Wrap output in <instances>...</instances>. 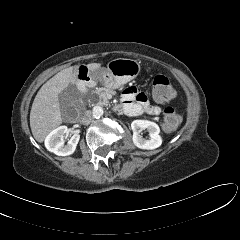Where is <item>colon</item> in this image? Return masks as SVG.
Returning <instances> with one entry per match:
<instances>
[{"instance_id": "1", "label": "colon", "mask_w": 240, "mask_h": 240, "mask_svg": "<svg viewBox=\"0 0 240 240\" xmlns=\"http://www.w3.org/2000/svg\"><path fill=\"white\" fill-rule=\"evenodd\" d=\"M153 98L158 102H169L176 97L177 91L170 80L164 75H155L150 78ZM181 115L173 108L164 110L163 129L171 132L181 123Z\"/></svg>"}]
</instances>
